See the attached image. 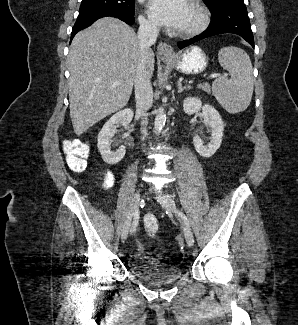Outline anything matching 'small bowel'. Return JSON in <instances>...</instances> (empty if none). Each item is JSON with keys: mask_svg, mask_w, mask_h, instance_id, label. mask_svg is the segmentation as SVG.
<instances>
[{"mask_svg": "<svg viewBox=\"0 0 298 325\" xmlns=\"http://www.w3.org/2000/svg\"><path fill=\"white\" fill-rule=\"evenodd\" d=\"M116 181L115 175L112 171H105L104 172V182H103V187L105 189H110L114 186Z\"/></svg>", "mask_w": 298, "mask_h": 325, "instance_id": "1", "label": "small bowel"}]
</instances>
